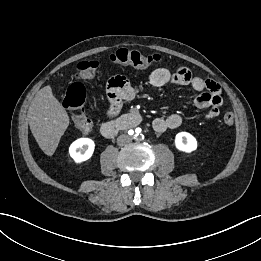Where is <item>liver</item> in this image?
<instances>
[{
	"instance_id": "obj_1",
	"label": "liver",
	"mask_w": 261,
	"mask_h": 261,
	"mask_svg": "<svg viewBox=\"0 0 261 261\" xmlns=\"http://www.w3.org/2000/svg\"><path fill=\"white\" fill-rule=\"evenodd\" d=\"M28 117L30 130L39 147L46 155H53L69 125V116L54 97L51 86L43 87L35 95Z\"/></svg>"
}]
</instances>
